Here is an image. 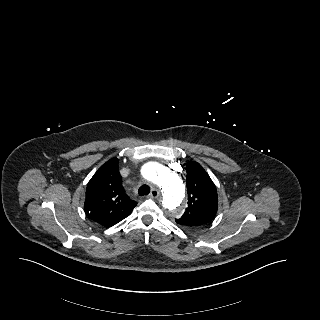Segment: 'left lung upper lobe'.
<instances>
[{
    "label": "left lung upper lobe",
    "instance_id": "obj_1",
    "mask_svg": "<svg viewBox=\"0 0 320 320\" xmlns=\"http://www.w3.org/2000/svg\"><path fill=\"white\" fill-rule=\"evenodd\" d=\"M188 206L176 219L177 224L192 228L209 223L217 212V190L207 172L196 162L187 163Z\"/></svg>",
    "mask_w": 320,
    "mask_h": 320
}]
</instances>
